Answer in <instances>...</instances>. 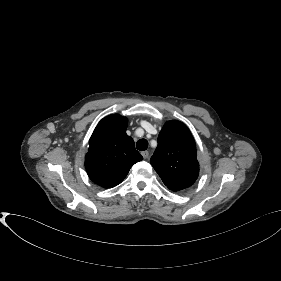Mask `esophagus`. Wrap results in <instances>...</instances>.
I'll return each instance as SVG.
<instances>
[{
	"instance_id": "34e87169",
	"label": "esophagus",
	"mask_w": 281,
	"mask_h": 281,
	"mask_svg": "<svg viewBox=\"0 0 281 281\" xmlns=\"http://www.w3.org/2000/svg\"><path fill=\"white\" fill-rule=\"evenodd\" d=\"M141 154H142L144 159H147L149 157V152L148 151H142Z\"/></svg>"
}]
</instances>
